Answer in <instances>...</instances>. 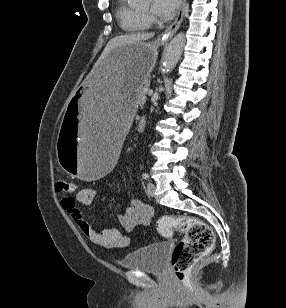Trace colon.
I'll return each instance as SVG.
<instances>
[{"label": "colon", "instance_id": "obj_1", "mask_svg": "<svg viewBox=\"0 0 286 308\" xmlns=\"http://www.w3.org/2000/svg\"><path fill=\"white\" fill-rule=\"evenodd\" d=\"M76 185L74 182L60 179L56 182V192L72 198ZM159 233L171 237L175 230L184 234L183 239L176 245L171 258L173 271L178 281L188 283V272L191 267L203 258L214 245L213 230L200 219L190 216H164L158 223Z\"/></svg>", "mask_w": 286, "mask_h": 308}]
</instances>
